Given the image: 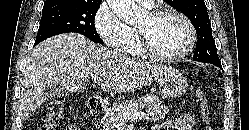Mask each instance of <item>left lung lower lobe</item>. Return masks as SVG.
Listing matches in <instances>:
<instances>
[{"label": "left lung lower lobe", "instance_id": "0a47b994", "mask_svg": "<svg viewBox=\"0 0 249 130\" xmlns=\"http://www.w3.org/2000/svg\"><path fill=\"white\" fill-rule=\"evenodd\" d=\"M214 65L222 69L221 63L220 64H214Z\"/></svg>", "mask_w": 249, "mask_h": 130}]
</instances>
